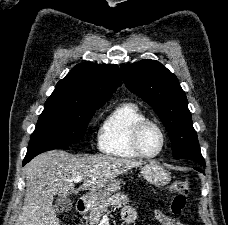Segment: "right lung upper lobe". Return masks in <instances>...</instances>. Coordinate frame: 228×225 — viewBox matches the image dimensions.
Returning <instances> with one entry per match:
<instances>
[{"mask_svg": "<svg viewBox=\"0 0 228 225\" xmlns=\"http://www.w3.org/2000/svg\"><path fill=\"white\" fill-rule=\"evenodd\" d=\"M121 85L117 65L84 62L76 65L60 80L52 97L71 99L94 104H105Z\"/></svg>", "mask_w": 228, "mask_h": 225, "instance_id": "right-lung-upper-lobe-1", "label": "right lung upper lobe"}]
</instances>
